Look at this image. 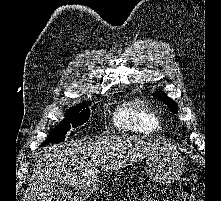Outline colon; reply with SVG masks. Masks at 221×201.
I'll use <instances>...</instances> for the list:
<instances>
[{"label": "colon", "mask_w": 221, "mask_h": 201, "mask_svg": "<svg viewBox=\"0 0 221 201\" xmlns=\"http://www.w3.org/2000/svg\"><path fill=\"white\" fill-rule=\"evenodd\" d=\"M181 200L182 201H197L194 190L189 185H183L181 188Z\"/></svg>", "instance_id": "obj_1"}]
</instances>
